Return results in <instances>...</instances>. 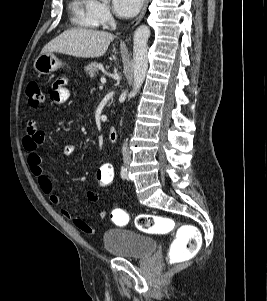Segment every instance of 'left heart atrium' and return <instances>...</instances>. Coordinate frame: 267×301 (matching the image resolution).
Masks as SVG:
<instances>
[{
	"instance_id": "39dd6f15",
	"label": "left heart atrium",
	"mask_w": 267,
	"mask_h": 301,
	"mask_svg": "<svg viewBox=\"0 0 267 301\" xmlns=\"http://www.w3.org/2000/svg\"><path fill=\"white\" fill-rule=\"evenodd\" d=\"M143 0H112L113 9L117 16L129 18L138 13Z\"/></svg>"
}]
</instances>
